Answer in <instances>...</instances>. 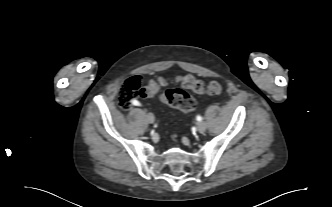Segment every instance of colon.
<instances>
[{
	"instance_id": "colon-1",
	"label": "colon",
	"mask_w": 332,
	"mask_h": 207,
	"mask_svg": "<svg viewBox=\"0 0 332 207\" xmlns=\"http://www.w3.org/2000/svg\"><path fill=\"white\" fill-rule=\"evenodd\" d=\"M168 79L159 76L142 85L140 76H133L126 80L121 86L118 94V104L122 109H129L132 102L138 97L159 98L163 103L172 108L178 109L184 113L191 112L195 107V100L189 94L188 90L198 94L219 95L222 92V86L218 82H210L204 85L200 80L192 75H179L172 81L179 83L182 88H169L160 92V88L168 83Z\"/></svg>"
}]
</instances>
